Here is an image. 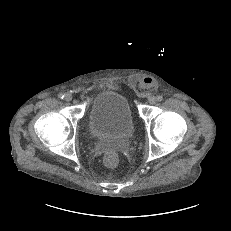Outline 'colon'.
<instances>
[{"label":"colon","instance_id":"colon-1","mask_svg":"<svg viewBox=\"0 0 231 231\" xmlns=\"http://www.w3.org/2000/svg\"><path fill=\"white\" fill-rule=\"evenodd\" d=\"M104 162L109 167H115L119 163V156L116 152L109 151L104 156Z\"/></svg>","mask_w":231,"mask_h":231}]
</instances>
